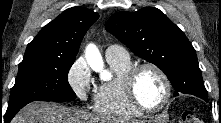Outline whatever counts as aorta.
Returning a JSON list of instances; mask_svg holds the SVG:
<instances>
[{
	"mask_svg": "<svg viewBox=\"0 0 221 123\" xmlns=\"http://www.w3.org/2000/svg\"><path fill=\"white\" fill-rule=\"evenodd\" d=\"M86 60L88 65L97 72H103L104 63L98 48L94 44H89L86 48Z\"/></svg>",
	"mask_w": 221,
	"mask_h": 123,
	"instance_id": "obj_1",
	"label": "aorta"
}]
</instances>
